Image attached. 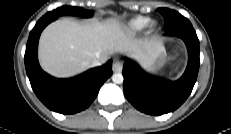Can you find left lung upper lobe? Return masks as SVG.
<instances>
[{"label": "left lung upper lobe", "instance_id": "obj_1", "mask_svg": "<svg viewBox=\"0 0 231 134\" xmlns=\"http://www.w3.org/2000/svg\"><path fill=\"white\" fill-rule=\"evenodd\" d=\"M158 11L162 14V16L165 19L164 28L166 32L180 26L191 24L187 18L183 17L181 14L174 10H170L167 8H159Z\"/></svg>", "mask_w": 231, "mask_h": 134}]
</instances>
